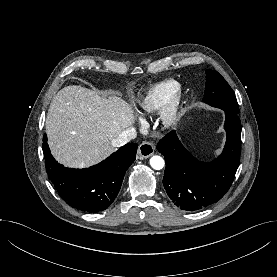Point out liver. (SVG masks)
Masks as SVG:
<instances>
[{
    "label": "liver",
    "instance_id": "6515ba94",
    "mask_svg": "<svg viewBox=\"0 0 277 277\" xmlns=\"http://www.w3.org/2000/svg\"><path fill=\"white\" fill-rule=\"evenodd\" d=\"M134 120L132 107L120 97L72 85L52 99L45 127L53 156L65 166L84 168L115 151V139Z\"/></svg>",
    "mask_w": 277,
    "mask_h": 277
}]
</instances>
